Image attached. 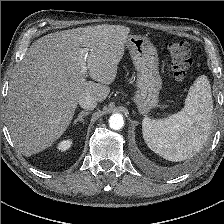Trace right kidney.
<instances>
[{"label":"right kidney","instance_id":"right-kidney-1","mask_svg":"<svg viewBox=\"0 0 224 224\" xmlns=\"http://www.w3.org/2000/svg\"><path fill=\"white\" fill-rule=\"evenodd\" d=\"M71 145H72V140L70 139L63 140L57 145V149L60 151H66L71 147Z\"/></svg>","mask_w":224,"mask_h":224}]
</instances>
